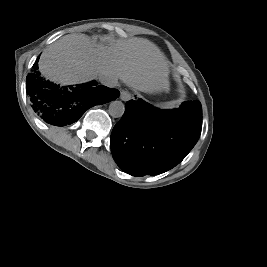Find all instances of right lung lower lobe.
<instances>
[{
  "mask_svg": "<svg viewBox=\"0 0 267 267\" xmlns=\"http://www.w3.org/2000/svg\"><path fill=\"white\" fill-rule=\"evenodd\" d=\"M33 67L38 69L36 63ZM26 91L37 115L55 126L74 123L89 108L110 102L120 95L117 89L97 86L95 81L74 87H60L42 80L39 71L27 76Z\"/></svg>",
  "mask_w": 267,
  "mask_h": 267,
  "instance_id": "98d812e1",
  "label": "right lung lower lobe"
}]
</instances>
